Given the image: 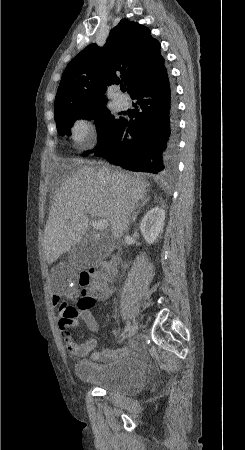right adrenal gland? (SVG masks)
Segmentation results:
<instances>
[{
	"mask_svg": "<svg viewBox=\"0 0 245 450\" xmlns=\"http://www.w3.org/2000/svg\"><path fill=\"white\" fill-rule=\"evenodd\" d=\"M148 201H149V198H146V199H144V200L138 205L137 211L134 213L133 218H132L133 221H135V219H136L137 215L139 214L141 208H142L143 206H145V204H146Z\"/></svg>",
	"mask_w": 245,
	"mask_h": 450,
	"instance_id": "obj_1",
	"label": "right adrenal gland"
}]
</instances>
